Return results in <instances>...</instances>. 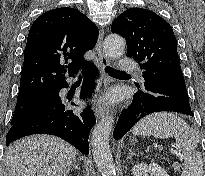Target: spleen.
<instances>
[{"label":"spleen","instance_id":"spleen-1","mask_svg":"<svg viewBox=\"0 0 205 176\" xmlns=\"http://www.w3.org/2000/svg\"><path fill=\"white\" fill-rule=\"evenodd\" d=\"M132 133L160 139L174 137L185 156L181 176H203L202 155L196 150L199 136L178 115L166 112L148 115L132 128Z\"/></svg>","mask_w":205,"mask_h":176}]
</instances>
